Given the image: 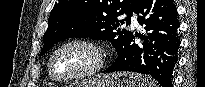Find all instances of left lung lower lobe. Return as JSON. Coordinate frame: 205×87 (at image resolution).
Masks as SVG:
<instances>
[{"mask_svg":"<svg viewBox=\"0 0 205 87\" xmlns=\"http://www.w3.org/2000/svg\"><path fill=\"white\" fill-rule=\"evenodd\" d=\"M134 12L148 36L132 34L115 62L105 72L133 71L149 75L162 87H172L180 45L177 8L173 0H139ZM141 14V15H139ZM136 37L144 40L137 45Z\"/></svg>","mask_w":205,"mask_h":87,"instance_id":"obj_1","label":"left lung lower lobe"}]
</instances>
